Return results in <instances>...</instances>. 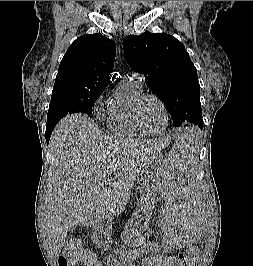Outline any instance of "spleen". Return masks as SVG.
<instances>
[{
	"label": "spleen",
	"instance_id": "3e777b00",
	"mask_svg": "<svg viewBox=\"0 0 253 266\" xmlns=\"http://www.w3.org/2000/svg\"><path fill=\"white\" fill-rule=\"evenodd\" d=\"M171 153L161 161L164 185L157 186V193L166 199L159 211V244L162 248H195L201 242L200 229L205 228L203 216H210V207H202L199 199L203 190L197 189L198 160L203 156L202 135H175Z\"/></svg>",
	"mask_w": 253,
	"mask_h": 266
}]
</instances>
